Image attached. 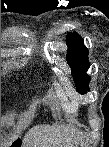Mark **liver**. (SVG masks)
<instances>
[{
  "label": "liver",
  "mask_w": 109,
  "mask_h": 147,
  "mask_svg": "<svg viewBox=\"0 0 109 147\" xmlns=\"http://www.w3.org/2000/svg\"><path fill=\"white\" fill-rule=\"evenodd\" d=\"M85 136L72 126L38 125L23 139V147H78ZM83 147V144H82Z\"/></svg>",
  "instance_id": "6515ba94"
}]
</instances>
